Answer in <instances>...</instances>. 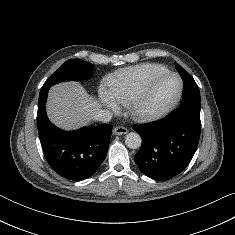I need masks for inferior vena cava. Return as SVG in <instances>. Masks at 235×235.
<instances>
[{
	"mask_svg": "<svg viewBox=\"0 0 235 235\" xmlns=\"http://www.w3.org/2000/svg\"><path fill=\"white\" fill-rule=\"evenodd\" d=\"M95 119L107 123L112 119V113L108 110H100L95 114Z\"/></svg>",
	"mask_w": 235,
	"mask_h": 235,
	"instance_id": "inferior-vena-cava-1",
	"label": "inferior vena cava"
}]
</instances>
